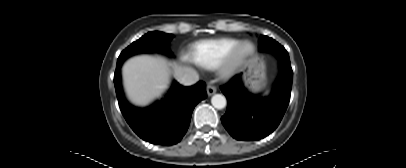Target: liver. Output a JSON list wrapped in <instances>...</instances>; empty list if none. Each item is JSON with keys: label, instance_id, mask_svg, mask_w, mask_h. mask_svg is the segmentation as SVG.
Listing matches in <instances>:
<instances>
[{"label": "liver", "instance_id": "liver-1", "mask_svg": "<svg viewBox=\"0 0 406 168\" xmlns=\"http://www.w3.org/2000/svg\"><path fill=\"white\" fill-rule=\"evenodd\" d=\"M169 66H172L175 76L185 68L162 57L148 55L128 60L123 67V78L129 99L137 105H146L159 97L169 83Z\"/></svg>", "mask_w": 406, "mask_h": 168}]
</instances>
